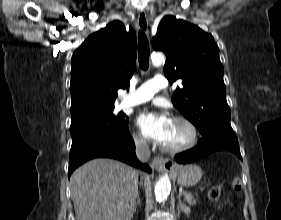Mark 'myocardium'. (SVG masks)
<instances>
[{
  "instance_id": "obj_1",
  "label": "myocardium",
  "mask_w": 281,
  "mask_h": 220,
  "mask_svg": "<svg viewBox=\"0 0 281 220\" xmlns=\"http://www.w3.org/2000/svg\"><path fill=\"white\" fill-rule=\"evenodd\" d=\"M173 121L182 123L188 128L189 138L185 143L179 146L169 147V146L162 145V149L168 153H180L194 147L198 140V129L196 125L190 119L184 116H176L173 118Z\"/></svg>"
}]
</instances>
